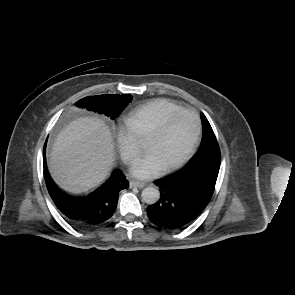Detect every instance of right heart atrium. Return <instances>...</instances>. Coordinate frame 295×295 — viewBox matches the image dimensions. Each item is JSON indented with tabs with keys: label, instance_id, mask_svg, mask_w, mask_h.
Returning <instances> with one entry per match:
<instances>
[{
	"label": "right heart atrium",
	"instance_id": "1",
	"mask_svg": "<svg viewBox=\"0 0 295 295\" xmlns=\"http://www.w3.org/2000/svg\"><path fill=\"white\" fill-rule=\"evenodd\" d=\"M116 142L123 161L130 164L138 155L137 139L125 125H120L116 129Z\"/></svg>",
	"mask_w": 295,
	"mask_h": 295
}]
</instances>
